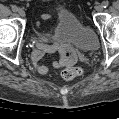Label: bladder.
I'll use <instances>...</instances> for the list:
<instances>
[{
    "instance_id": "31cf9c89",
    "label": "bladder",
    "mask_w": 119,
    "mask_h": 119,
    "mask_svg": "<svg viewBox=\"0 0 119 119\" xmlns=\"http://www.w3.org/2000/svg\"><path fill=\"white\" fill-rule=\"evenodd\" d=\"M54 33L58 39L68 41L84 52L95 51L99 46L96 33L75 13L63 6L57 9V24Z\"/></svg>"
}]
</instances>
